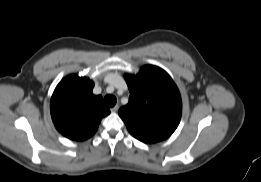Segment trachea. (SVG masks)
I'll return each instance as SVG.
<instances>
[{"label":"trachea","instance_id":"trachea-1","mask_svg":"<svg viewBox=\"0 0 261 182\" xmlns=\"http://www.w3.org/2000/svg\"><path fill=\"white\" fill-rule=\"evenodd\" d=\"M116 97L113 95H107L104 98V103L106 104V106L108 107H113L116 104Z\"/></svg>","mask_w":261,"mask_h":182}]
</instances>
